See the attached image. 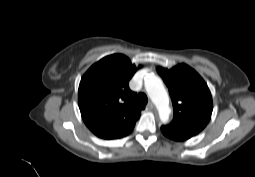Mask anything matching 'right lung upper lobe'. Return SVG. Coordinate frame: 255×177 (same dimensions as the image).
Wrapping results in <instances>:
<instances>
[{"instance_id":"right-lung-upper-lobe-1","label":"right lung upper lobe","mask_w":255,"mask_h":177,"mask_svg":"<svg viewBox=\"0 0 255 177\" xmlns=\"http://www.w3.org/2000/svg\"><path fill=\"white\" fill-rule=\"evenodd\" d=\"M139 66L138 68H140ZM137 67L122 54L106 56L83 75L78 103L86 126L102 139H116L135 126L145 107L135 101L129 81Z\"/></svg>"}]
</instances>
